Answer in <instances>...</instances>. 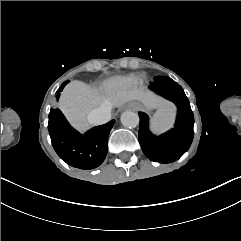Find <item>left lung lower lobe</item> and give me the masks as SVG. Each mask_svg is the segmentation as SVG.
Listing matches in <instances>:
<instances>
[{
	"mask_svg": "<svg viewBox=\"0 0 241 241\" xmlns=\"http://www.w3.org/2000/svg\"><path fill=\"white\" fill-rule=\"evenodd\" d=\"M149 87L176 104L177 120L174 129L157 137L149 131L148 116L140 112L139 143L150 160L160 163L173 162L188 150L192 142L193 112L183 88L171 78L157 77Z\"/></svg>",
	"mask_w": 241,
	"mask_h": 241,
	"instance_id": "1",
	"label": "left lung lower lobe"
}]
</instances>
